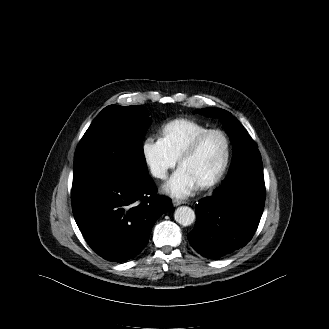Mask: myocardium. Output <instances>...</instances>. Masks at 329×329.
Wrapping results in <instances>:
<instances>
[{"mask_svg": "<svg viewBox=\"0 0 329 329\" xmlns=\"http://www.w3.org/2000/svg\"><path fill=\"white\" fill-rule=\"evenodd\" d=\"M211 134H218L220 135L224 142H225V155L223 162L219 168V170L208 180L202 182L199 184L200 188H209L215 184H217L225 175L229 164L231 160L232 155V145L231 140L226 132H224L221 129H207L204 132L197 135L188 145L187 147L182 151L178 158V165L181 166L182 162L186 160L187 158L193 156L196 151L198 150L201 142L209 135Z\"/></svg>", "mask_w": 329, "mask_h": 329, "instance_id": "1", "label": "myocardium"}]
</instances>
